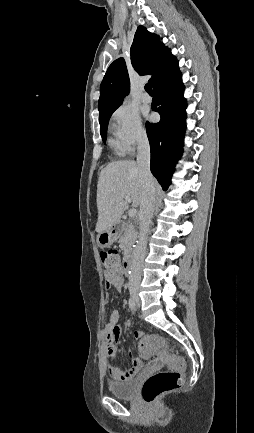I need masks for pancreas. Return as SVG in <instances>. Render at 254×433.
<instances>
[{
	"mask_svg": "<svg viewBox=\"0 0 254 433\" xmlns=\"http://www.w3.org/2000/svg\"><path fill=\"white\" fill-rule=\"evenodd\" d=\"M136 238V229L132 222L128 221L122 226V233L119 238L120 245L124 248L131 245Z\"/></svg>",
	"mask_w": 254,
	"mask_h": 433,
	"instance_id": "1",
	"label": "pancreas"
}]
</instances>
